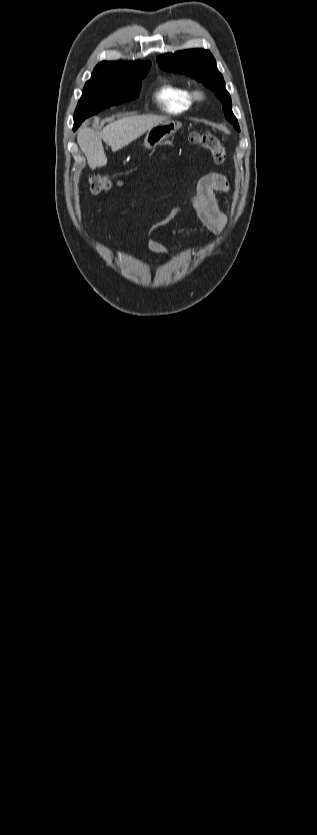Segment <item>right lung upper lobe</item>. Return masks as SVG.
Returning a JSON list of instances; mask_svg holds the SVG:
<instances>
[{
  "label": "right lung upper lobe",
  "instance_id": "obj_1",
  "mask_svg": "<svg viewBox=\"0 0 317 835\" xmlns=\"http://www.w3.org/2000/svg\"><path fill=\"white\" fill-rule=\"evenodd\" d=\"M145 65H150L149 62H127L123 61H102L94 69L92 76H100L102 74L115 71H133L142 68Z\"/></svg>",
  "mask_w": 317,
  "mask_h": 835
}]
</instances>
